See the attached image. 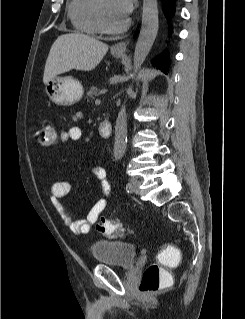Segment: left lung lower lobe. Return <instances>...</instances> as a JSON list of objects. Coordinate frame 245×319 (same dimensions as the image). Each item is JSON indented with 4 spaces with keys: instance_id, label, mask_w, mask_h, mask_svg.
I'll return each mask as SVG.
<instances>
[{
    "instance_id": "obj_1",
    "label": "left lung lower lobe",
    "mask_w": 245,
    "mask_h": 319,
    "mask_svg": "<svg viewBox=\"0 0 245 319\" xmlns=\"http://www.w3.org/2000/svg\"><path fill=\"white\" fill-rule=\"evenodd\" d=\"M163 2V11L168 20L174 15V2L175 0H162ZM152 64L157 66L159 69L166 73L169 66V56L167 52H163L155 59H153Z\"/></svg>"
}]
</instances>
